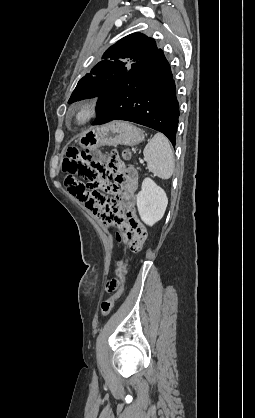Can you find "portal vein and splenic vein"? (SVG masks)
Wrapping results in <instances>:
<instances>
[{"mask_svg":"<svg viewBox=\"0 0 255 418\" xmlns=\"http://www.w3.org/2000/svg\"><path fill=\"white\" fill-rule=\"evenodd\" d=\"M144 161L142 159H140V163H143Z\"/></svg>","mask_w":255,"mask_h":418,"instance_id":"18ae733b","label":"portal vein and splenic vein"}]
</instances>
